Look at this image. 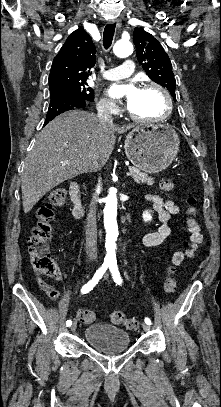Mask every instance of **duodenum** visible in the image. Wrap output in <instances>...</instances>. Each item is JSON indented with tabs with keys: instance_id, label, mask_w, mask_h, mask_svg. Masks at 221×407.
<instances>
[{
	"instance_id": "duodenum-1",
	"label": "duodenum",
	"mask_w": 221,
	"mask_h": 407,
	"mask_svg": "<svg viewBox=\"0 0 221 407\" xmlns=\"http://www.w3.org/2000/svg\"><path fill=\"white\" fill-rule=\"evenodd\" d=\"M70 196L72 204V214L74 218L81 219L85 216V209L83 207V201L80 194V185L74 183L70 186Z\"/></svg>"
}]
</instances>
